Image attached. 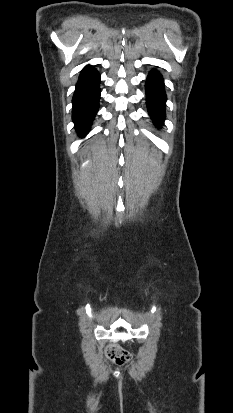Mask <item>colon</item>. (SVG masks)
<instances>
[{
	"mask_svg": "<svg viewBox=\"0 0 233 413\" xmlns=\"http://www.w3.org/2000/svg\"><path fill=\"white\" fill-rule=\"evenodd\" d=\"M107 354L117 364H123L130 359V353L127 350L115 345L108 347Z\"/></svg>",
	"mask_w": 233,
	"mask_h": 413,
	"instance_id": "obj_1",
	"label": "colon"
}]
</instances>
